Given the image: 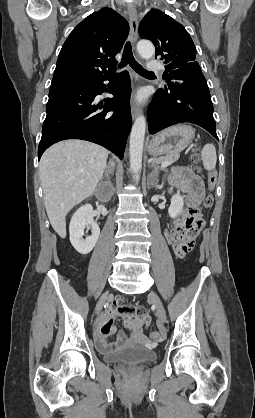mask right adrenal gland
Listing matches in <instances>:
<instances>
[{
	"mask_svg": "<svg viewBox=\"0 0 255 418\" xmlns=\"http://www.w3.org/2000/svg\"><path fill=\"white\" fill-rule=\"evenodd\" d=\"M111 172H112V170L110 169L109 166H107L104 177H106L108 180H110V174H111Z\"/></svg>",
	"mask_w": 255,
	"mask_h": 418,
	"instance_id": "2a0ac1e0",
	"label": "right adrenal gland"
}]
</instances>
